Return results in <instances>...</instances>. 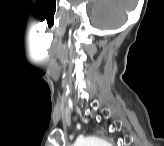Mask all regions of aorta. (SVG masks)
<instances>
[{
	"label": "aorta",
	"instance_id": "aorta-1",
	"mask_svg": "<svg viewBox=\"0 0 164 146\" xmlns=\"http://www.w3.org/2000/svg\"><path fill=\"white\" fill-rule=\"evenodd\" d=\"M78 146H108V142L98 137H88L81 140Z\"/></svg>",
	"mask_w": 164,
	"mask_h": 146
}]
</instances>
